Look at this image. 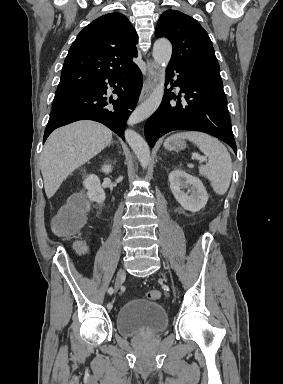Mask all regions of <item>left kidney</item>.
Returning a JSON list of instances; mask_svg holds the SVG:
<instances>
[{
  "label": "left kidney",
  "mask_w": 283,
  "mask_h": 384,
  "mask_svg": "<svg viewBox=\"0 0 283 384\" xmlns=\"http://www.w3.org/2000/svg\"><path fill=\"white\" fill-rule=\"evenodd\" d=\"M170 190L175 196L177 202L181 204L184 210L189 212H199L208 202V194L199 178L186 174L183 170L174 168L169 174ZM189 192H184L183 188H189ZM190 194V196H189Z\"/></svg>",
  "instance_id": "left-kidney-1"
}]
</instances>
